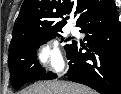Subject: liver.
Instances as JSON below:
<instances>
[{"label": "liver", "mask_w": 121, "mask_h": 94, "mask_svg": "<svg viewBox=\"0 0 121 94\" xmlns=\"http://www.w3.org/2000/svg\"><path fill=\"white\" fill-rule=\"evenodd\" d=\"M19 94H97L96 91L81 84L65 81L38 82L19 92Z\"/></svg>", "instance_id": "6515ba94"}]
</instances>
